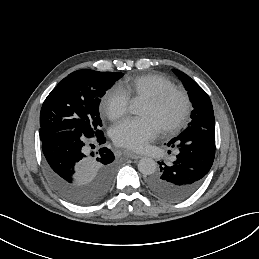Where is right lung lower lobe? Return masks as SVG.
I'll list each match as a JSON object with an SVG mask.
<instances>
[{"mask_svg": "<svg viewBox=\"0 0 259 259\" xmlns=\"http://www.w3.org/2000/svg\"><path fill=\"white\" fill-rule=\"evenodd\" d=\"M89 142L100 146L106 138L103 132L88 138L67 130L42 141L50 182L62 197L81 206L95 204L106 196L116 169L112 151L104 146L91 151Z\"/></svg>", "mask_w": 259, "mask_h": 259, "instance_id": "obj_1", "label": "right lung lower lobe"}]
</instances>
